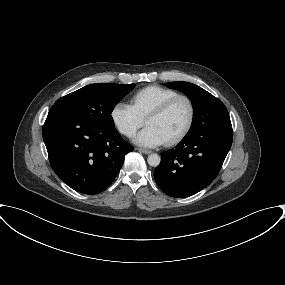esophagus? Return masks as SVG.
I'll use <instances>...</instances> for the list:
<instances>
[{"label": "esophagus", "mask_w": 285, "mask_h": 285, "mask_svg": "<svg viewBox=\"0 0 285 285\" xmlns=\"http://www.w3.org/2000/svg\"><path fill=\"white\" fill-rule=\"evenodd\" d=\"M137 150L141 153H144V154H151L152 153V151L147 150V149H143V148H137Z\"/></svg>", "instance_id": "1"}]
</instances>
